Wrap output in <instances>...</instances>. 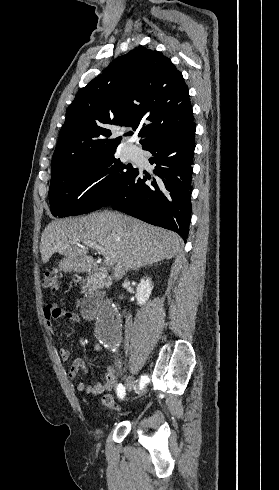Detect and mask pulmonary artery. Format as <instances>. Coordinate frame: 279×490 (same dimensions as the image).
Returning a JSON list of instances; mask_svg holds the SVG:
<instances>
[{
    "instance_id": "1",
    "label": "pulmonary artery",
    "mask_w": 279,
    "mask_h": 490,
    "mask_svg": "<svg viewBox=\"0 0 279 490\" xmlns=\"http://www.w3.org/2000/svg\"><path fill=\"white\" fill-rule=\"evenodd\" d=\"M134 147L130 146L125 149V154L128 157H133L134 156Z\"/></svg>"
}]
</instances>
